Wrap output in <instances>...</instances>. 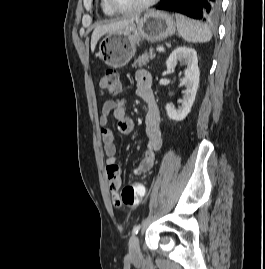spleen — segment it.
<instances>
[{
  "instance_id": "spleen-1",
  "label": "spleen",
  "mask_w": 265,
  "mask_h": 269,
  "mask_svg": "<svg viewBox=\"0 0 265 269\" xmlns=\"http://www.w3.org/2000/svg\"><path fill=\"white\" fill-rule=\"evenodd\" d=\"M177 29L180 36L187 42L205 43L211 40L212 33L206 24L175 13Z\"/></svg>"
}]
</instances>
